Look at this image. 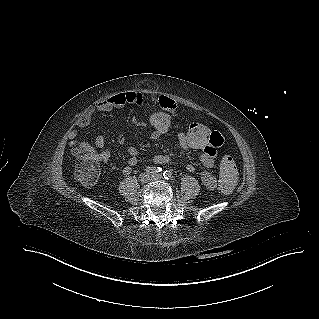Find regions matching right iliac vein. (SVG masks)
<instances>
[{
    "label": "right iliac vein",
    "mask_w": 319,
    "mask_h": 319,
    "mask_svg": "<svg viewBox=\"0 0 319 319\" xmlns=\"http://www.w3.org/2000/svg\"><path fill=\"white\" fill-rule=\"evenodd\" d=\"M139 180L143 184L148 183L149 181H151V175L149 173H142L139 176Z\"/></svg>",
    "instance_id": "1"
}]
</instances>
